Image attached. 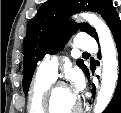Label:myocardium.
I'll return each mask as SVG.
<instances>
[{
	"instance_id": "1",
	"label": "myocardium",
	"mask_w": 121,
	"mask_h": 113,
	"mask_svg": "<svg viewBox=\"0 0 121 113\" xmlns=\"http://www.w3.org/2000/svg\"><path fill=\"white\" fill-rule=\"evenodd\" d=\"M64 87H68L64 82H55V83H52L45 91V105H46V110H48L47 113H54L52 111L53 109V105H54V100H53V95H54V92L59 89V88H64ZM83 107H82V103L79 99V103L77 105V107L70 111L69 113H76L77 111H80L82 110Z\"/></svg>"
}]
</instances>
